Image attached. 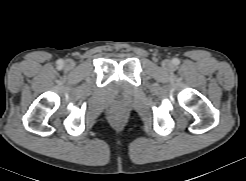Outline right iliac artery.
<instances>
[{"mask_svg": "<svg viewBox=\"0 0 246 181\" xmlns=\"http://www.w3.org/2000/svg\"><path fill=\"white\" fill-rule=\"evenodd\" d=\"M63 63H64V62H63L62 60H59V61H58V65H59V66H63Z\"/></svg>", "mask_w": 246, "mask_h": 181, "instance_id": "1", "label": "right iliac artery"}]
</instances>
